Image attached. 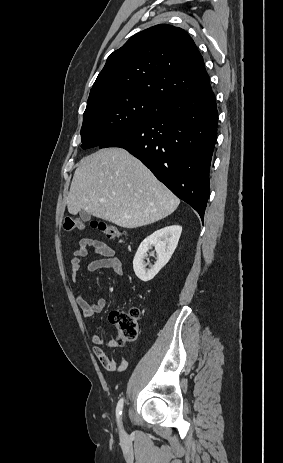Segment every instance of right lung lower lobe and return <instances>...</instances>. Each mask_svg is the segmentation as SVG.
<instances>
[{
	"label": "right lung lower lobe",
	"mask_w": 283,
	"mask_h": 463,
	"mask_svg": "<svg viewBox=\"0 0 283 463\" xmlns=\"http://www.w3.org/2000/svg\"><path fill=\"white\" fill-rule=\"evenodd\" d=\"M216 136L217 106L210 89L162 103L99 148L126 149L203 220Z\"/></svg>",
	"instance_id": "right-lung-lower-lobe-1"
}]
</instances>
